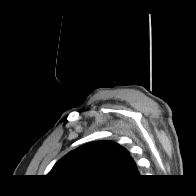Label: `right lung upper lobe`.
<instances>
[{
	"instance_id": "obj_1",
	"label": "right lung upper lobe",
	"mask_w": 196,
	"mask_h": 196,
	"mask_svg": "<svg viewBox=\"0 0 196 196\" xmlns=\"http://www.w3.org/2000/svg\"><path fill=\"white\" fill-rule=\"evenodd\" d=\"M49 176L85 183H118L138 177L135 162L125 148L108 141L80 146L61 158Z\"/></svg>"
}]
</instances>
